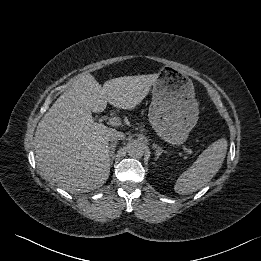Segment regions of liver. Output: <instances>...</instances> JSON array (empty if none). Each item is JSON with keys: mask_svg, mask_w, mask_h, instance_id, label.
Returning a JSON list of instances; mask_svg holds the SVG:
<instances>
[{"mask_svg": "<svg viewBox=\"0 0 261 261\" xmlns=\"http://www.w3.org/2000/svg\"><path fill=\"white\" fill-rule=\"evenodd\" d=\"M158 77L124 76L101 86L91 74H80L38 123L35 154L44 178L72 192L103 186L110 173L109 134L115 129L96 123L92 112L104 111L107 103L133 109Z\"/></svg>", "mask_w": 261, "mask_h": 261, "instance_id": "6515ba94", "label": "liver"}]
</instances>
